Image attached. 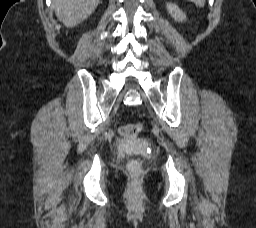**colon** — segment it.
I'll return each instance as SVG.
<instances>
[{"mask_svg":"<svg viewBox=\"0 0 256 228\" xmlns=\"http://www.w3.org/2000/svg\"><path fill=\"white\" fill-rule=\"evenodd\" d=\"M142 127L143 126L141 123L125 124V125H121L118 128V133L123 137L130 138L139 134L142 130ZM127 169L133 178L136 179L140 176L141 165L138 160L136 159L130 160L127 165Z\"/></svg>","mask_w":256,"mask_h":228,"instance_id":"5ec220e1","label":"colon"}]
</instances>
